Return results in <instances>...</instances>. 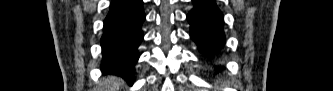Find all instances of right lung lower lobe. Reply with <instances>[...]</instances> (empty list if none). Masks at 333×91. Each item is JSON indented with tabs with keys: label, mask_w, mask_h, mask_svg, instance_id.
I'll return each mask as SVG.
<instances>
[{
	"label": "right lung lower lobe",
	"mask_w": 333,
	"mask_h": 91,
	"mask_svg": "<svg viewBox=\"0 0 333 91\" xmlns=\"http://www.w3.org/2000/svg\"><path fill=\"white\" fill-rule=\"evenodd\" d=\"M142 0H114L104 21L101 38V70L115 74L133 84L137 51L143 39L141 25L145 20Z\"/></svg>",
	"instance_id": "right-lung-lower-lobe-1"
}]
</instances>
